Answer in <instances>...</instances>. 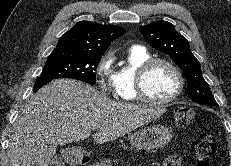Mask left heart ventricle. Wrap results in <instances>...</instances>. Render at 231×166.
<instances>
[{
	"label": "left heart ventricle",
	"instance_id": "obj_1",
	"mask_svg": "<svg viewBox=\"0 0 231 166\" xmlns=\"http://www.w3.org/2000/svg\"><path fill=\"white\" fill-rule=\"evenodd\" d=\"M145 88L152 98L166 99L176 90L177 79L170 67L165 64H157L148 72Z\"/></svg>",
	"mask_w": 231,
	"mask_h": 166
}]
</instances>
